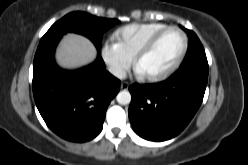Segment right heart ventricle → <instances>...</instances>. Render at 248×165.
<instances>
[{"label":"right heart ventricle","mask_w":248,"mask_h":165,"mask_svg":"<svg viewBox=\"0 0 248 165\" xmlns=\"http://www.w3.org/2000/svg\"><path fill=\"white\" fill-rule=\"evenodd\" d=\"M167 27L164 23H135L119 29L115 40L133 58L143 44L156 32Z\"/></svg>","instance_id":"right-heart-ventricle-1"}]
</instances>
